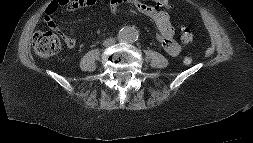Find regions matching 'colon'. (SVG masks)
I'll return each mask as SVG.
<instances>
[{
	"label": "colon",
	"instance_id": "colon-1",
	"mask_svg": "<svg viewBox=\"0 0 253 143\" xmlns=\"http://www.w3.org/2000/svg\"><path fill=\"white\" fill-rule=\"evenodd\" d=\"M93 0H53L47 7L51 13H55L59 8H77L91 3ZM46 9V10H47ZM181 37L189 42L192 39L191 31L183 26L181 28ZM33 48L35 53L41 58H49L56 55L61 48L58 37L50 31H38L33 36ZM193 61L191 55H186L183 59L184 64L189 65Z\"/></svg>",
	"mask_w": 253,
	"mask_h": 143
}]
</instances>
